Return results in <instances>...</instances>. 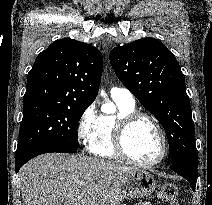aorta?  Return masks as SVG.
Masks as SVG:
<instances>
[{
	"instance_id": "obj_1",
	"label": "aorta",
	"mask_w": 212,
	"mask_h": 205,
	"mask_svg": "<svg viewBox=\"0 0 212 205\" xmlns=\"http://www.w3.org/2000/svg\"><path fill=\"white\" fill-rule=\"evenodd\" d=\"M99 93H100V95H101L102 97L105 98V100H107V95H106V93H105L104 90L101 89ZM101 109H102L103 112L111 113V112L114 111V106H113L112 103H110V102L107 101V103H105V104L102 106Z\"/></svg>"
}]
</instances>
